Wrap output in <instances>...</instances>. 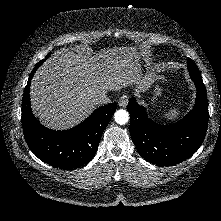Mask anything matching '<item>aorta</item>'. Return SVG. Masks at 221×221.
Returning <instances> with one entry per match:
<instances>
[{"label": "aorta", "mask_w": 221, "mask_h": 221, "mask_svg": "<svg viewBox=\"0 0 221 221\" xmlns=\"http://www.w3.org/2000/svg\"><path fill=\"white\" fill-rule=\"evenodd\" d=\"M114 119H115L116 123H118L120 125H124L129 120V114L126 110L120 109L115 112Z\"/></svg>", "instance_id": "obj_1"}]
</instances>
